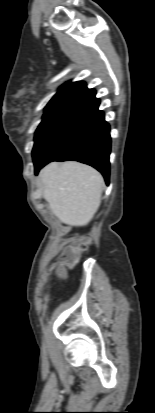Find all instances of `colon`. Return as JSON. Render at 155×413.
I'll use <instances>...</instances> for the list:
<instances>
[{"instance_id":"colon-1","label":"colon","mask_w":155,"mask_h":413,"mask_svg":"<svg viewBox=\"0 0 155 413\" xmlns=\"http://www.w3.org/2000/svg\"><path fill=\"white\" fill-rule=\"evenodd\" d=\"M88 242L74 241L69 244L62 252L54 272L58 277H64L79 260L82 253L88 249Z\"/></svg>"}]
</instances>
